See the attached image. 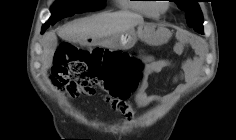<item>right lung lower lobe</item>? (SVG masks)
I'll use <instances>...</instances> for the list:
<instances>
[{
  "instance_id": "98d812e1",
  "label": "right lung lower lobe",
  "mask_w": 236,
  "mask_h": 140,
  "mask_svg": "<svg viewBox=\"0 0 236 140\" xmlns=\"http://www.w3.org/2000/svg\"><path fill=\"white\" fill-rule=\"evenodd\" d=\"M45 30H46V29H42V33H44Z\"/></svg>"
}]
</instances>
